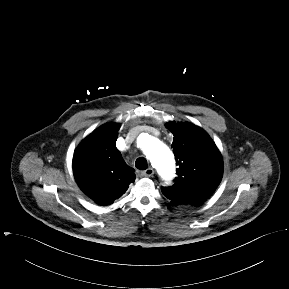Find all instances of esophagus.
Instances as JSON below:
<instances>
[{
  "instance_id": "esophagus-1",
  "label": "esophagus",
  "mask_w": 289,
  "mask_h": 289,
  "mask_svg": "<svg viewBox=\"0 0 289 289\" xmlns=\"http://www.w3.org/2000/svg\"><path fill=\"white\" fill-rule=\"evenodd\" d=\"M142 176L151 177L154 174V170L152 168H148L141 172Z\"/></svg>"
}]
</instances>
